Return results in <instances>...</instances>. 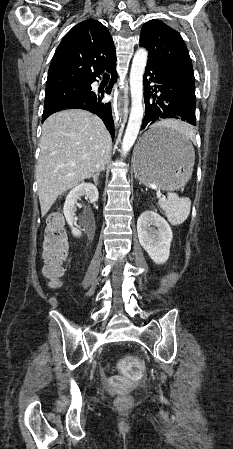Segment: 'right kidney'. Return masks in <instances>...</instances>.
<instances>
[{
  "mask_svg": "<svg viewBox=\"0 0 233 449\" xmlns=\"http://www.w3.org/2000/svg\"><path fill=\"white\" fill-rule=\"evenodd\" d=\"M85 196L88 198L91 202L98 201L99 193L95 185L91 183H81L75 188H73L69 194L67 195L63 212L64 216L66 218L67 223L71 227V232L75 237L81 236V231H79L77 228L73 227V222L75 219V212H76V203L77 200L80 199V197Z\"/></svg>",
  "mask_w": 233,
  "mask_h": 449,
  "instance_id": "obj_1",
  "label": "right kidney"
}]
</instances>
